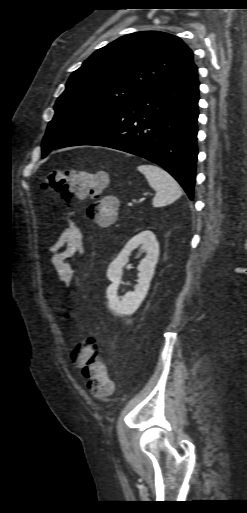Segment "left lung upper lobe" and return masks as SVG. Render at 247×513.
Here are the masks:
<instances>
[{"instance_id":"obj_1","label":"left lung upper lobe","mask_w":247,"mask_h":513,"mask_svg":"<svg viewBox=\"0 0 247 513\" xmlns=\"http://www.w3.org/2000/svg\"><path fill=\"white\" fill-rule=\"evenodd\" d=\"M193 61L178 37L132 33L94 52L69 78L42 143V156L168 81Z\"/></svg>"}]
</instances>
